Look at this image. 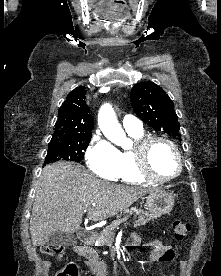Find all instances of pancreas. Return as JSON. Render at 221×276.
Here are the masks:
<instances>
[{"instance_id":"cf45deb5","label":"pancreas","mask_w":221,"mask_h":276,"mask_svg":"<svg viewBox=\"0 0 221 276\" xmlns=\"http://www.w3.org/2000/svg\"><path fill=\"white\" fill-rule=\"evenodd\" d=\"M125 213L128 215L134 214L136 218L134 226H140L148 223L150 220H154L158 217L157 214L144 212L141 209L131 208L130 210H126ZM119 221V220H118ZM118 221L113 222L112 224L105 227L100 234L97 236V241L99 246H109L112 247L115 238V229L118 227Z\"/></svg>"}]
</instances>
